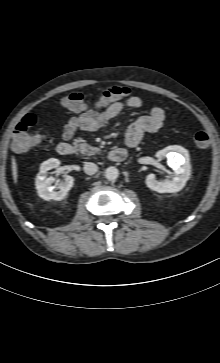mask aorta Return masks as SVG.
I'll return each mask as SVG.
<instances>
[{
    "label": "aorta",
    "mask_w": 220,
    "mask_h": 363,
    "mask_svg": "<svg viewBox=\"0 0 220 363\" xmlns=\"http://www.w3.org/2000/svg\"><path fill=\"white\" fill-rule=\"evenodd\" d=\"M119 171L116 167L110 166L105 170V177L109 181H114L118 178Z\"/></svg>",
    "instance_id": "obj_1"
}]
</instances>
